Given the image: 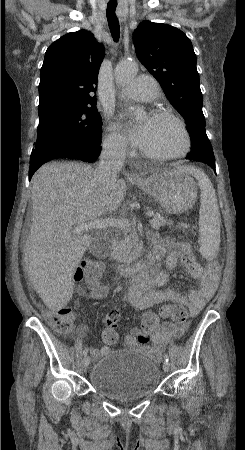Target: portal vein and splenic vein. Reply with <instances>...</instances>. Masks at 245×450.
Masks as SVG:
<instances>
[{"label": "portal vein and splenic vein", "instance_id": "portal-vein-and-splenic-vein-1", "mask_svg": "<svg viewBox=\"0 0 245 450\" xmlns=\"http://www.w3.org/2000/svg\"><path fill=\"white\" fill-rule=\"evenodd\" d=\"M146 215L148 217H153L154 212L153 211H147ZM130 226V223L127 219H97L91 222H86L77 225L73 229L74 234H80L82 232L92 230V229H102L107 227H118V228H127Z\"/></svg>", "mask_w": 245, "mask_h": 450}]
</instances>
